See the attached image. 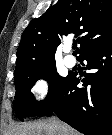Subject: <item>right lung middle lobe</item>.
Listing matches in <instances>:
<instances>
[{"instance_id":"1","label":"right lung middle lobe","mask_w":112,"mask_h":135,"mask_svg":"<svg viewBox=\"0 0 112 135\" xmlns=\"http://www.w3.org/2000/svg\"><path fill=\"white\" fill-rule=\"evenodd\" d=\"M40 78L48 81L49 92L43 101L38 102L30 89ZM68 78L69 75L67 77L58 75L55 62L47 64L37 72L14 76L16 94L13 104L18 118L23 121L25 116H37L44 106L54 100Z\"/></svg>"}]
</instances>
